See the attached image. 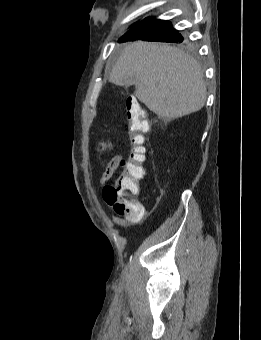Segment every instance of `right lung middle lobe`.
I'll return each instance as SVG.
<instances>
[{
	"mask_svg": "<svg viewBox=\"0 0 261 340\" xmlns=\"http://www.w3.org/2000/svg\"><path fill=\"white\" fill-rule=\"evenodd\" d=\"M186 38L183 37L180 33H178L177 35H175L174 37L171 38V40L169 42H173V43H181V42H186Z\"/></svg>",
	"mask_w": 261,
	"mask_h": 340,
	"instance_id": "obj_1",
	"label": "right lung middle lobe"
}]
</instances>
